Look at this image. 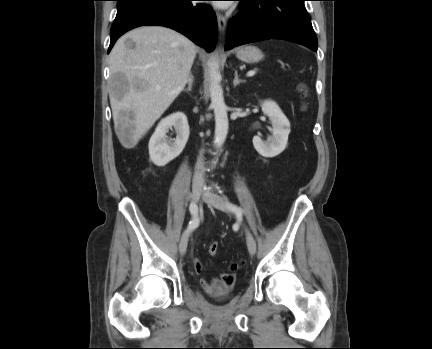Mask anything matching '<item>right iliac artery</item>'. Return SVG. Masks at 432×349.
I'll return each mask as SVG.
<instances>
[{"label":"right iliac artery","instance_id":"82829eb1","mask_svg":"<svg viewBox=\"0 0 432 349\" xmlns=\"http://www.w3.org/2000/svg\"><path fill=\"white\" fill-rule=\"evenodd\" d=\"M191 218L192 220L189 222L188 225V229L187 232H191L194 228H196L197 224H198V220H197V205L195 203H191L190 207H189Z\"/></svg>","mask_w":432,"mask_h":349}]
</instances>
